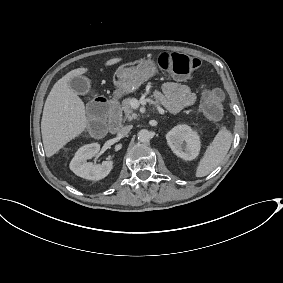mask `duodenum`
Segmentation results:
<instances>
[{
    "label": "duodenum",
    "mask_w": 283,
    "mask_h": 283,
    "mask_svg": "<svg viewBox=\"0 0 283 283\" xmlns=\"http://www.w3.org/2000/svg\"><path fill=\"white\" fill-rule=\"evenodd\" d=\"M105 109V106H102ZM121 112L119 109L118 98H114L110 103V117L108 121V130L111 133H117L121 129Z\"/></svg>",
    "instance_id": "obj_1"
}]
</instances>
